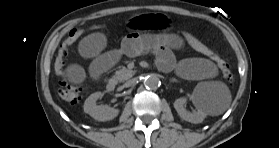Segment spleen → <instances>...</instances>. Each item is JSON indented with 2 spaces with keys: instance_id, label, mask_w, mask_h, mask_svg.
Segmentation results:
<instances>
[{
  "instance_id": "spleen-1",
  "label": "spleen",
  "mask_w": 279,
  "mask_h": 148,
  "mask_svg": "<svg viewBox=\"0 0 279 148\" xmlns=\"http://www.w3.org/2000/svg\"><path fill=\"white\" fill-rule=\"evenodd\" d=\"M195 91L206 102L207 109L213 115L222 114L231 103L230 91L222 82L199 83Z\"/></svg>"
}]
</instances>
